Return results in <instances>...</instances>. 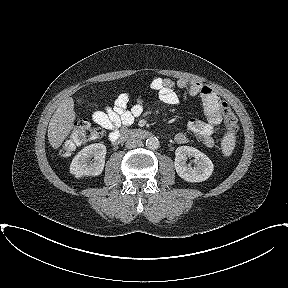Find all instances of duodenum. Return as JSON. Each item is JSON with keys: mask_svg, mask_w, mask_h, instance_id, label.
Returning a JSON list of instances; mask_svg holds the SVG:
<instances>
[{"mask_svg": "<svg viewBox=\"0 0 288 288\" xmlns=\"http://www.w3.org/2000/svg\"><path fill=\"white\" fill-rule=\"evenodd\" d=\"M151 135V133L144 129H123L119 136L113 141L115 144L123 142L129 138L144 139Z\"/></svg>", "mask_w": 288, "mask_h": 288, "instance_id": "1", "label": "duodenum"}]
</instances>
